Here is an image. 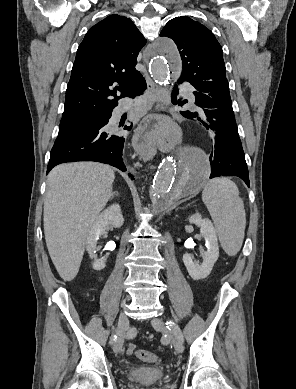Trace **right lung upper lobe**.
I'll return each instance as SVG.
<instances>
[{
	"label": "right lung upper lobe",
	"instance_id": "cb5924a9",
	"mask_svg": "<svg viewBox=\"0 0 296 389\" xmlns=\"http://www.w3.org/2000/svg\"><path fill=\"white\" fill-rule=\"evenodd\" d=\"M145 44L146 39L124 16L110 15L94 25L78 47L62 118L112 113L118 100L129 96L143 78L135 65Z\"/></svg>",
	"mask_w": 296,
	"mask_h": 389
}]
</instances>
